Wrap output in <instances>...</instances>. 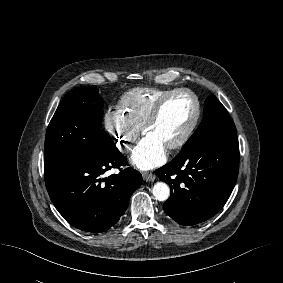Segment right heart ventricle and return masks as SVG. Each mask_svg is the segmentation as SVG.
I'll return each instance as SVG.
<instances>
[{"mask_svg":"<svg viewBox=\"0 0 283 283\" xmlns=\"http://www.w3.org/2000/svg\"><path fill=\"white\" fill-rule=\"evenodd\" d=\"M171 90L173 89L159 87L133 88L120 98V110L141 129L157 100Z\"/></svg>","mask_w":283,"mask_h":283,"instance_id":"right-heart-ventricle-1","label":"right heart ventricle"}]
</instances>
